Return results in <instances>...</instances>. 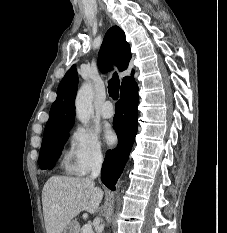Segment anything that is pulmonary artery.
Masks as SVG:
<instances>
[{
    "label": "pulmonary artery",
    "mask_w": 227,
    "mask_h": 233,
    "mask_svg": "<svg viewBox=\"0 0 227 233\" xmlns=\"http://www.w3.org/2000/svg\"><path fill=\"white\" fill-rule=\"evenodd\" d=\"M100 114L103 118L109 119L114 115V109L110 101H105L100 109Z\"/></svg>",
    "instance_id": "e3ab8cb5"
}]
</instances>
